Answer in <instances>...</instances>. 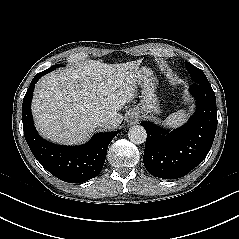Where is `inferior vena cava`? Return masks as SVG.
<instances>
[{
	"instance_id": "obj_1",
	"label": "inferior vena cava",
	"mask_w": 239,
	"mask_h": 239,
	"mask_svg": "<svg viewBox=\"0 0 239 239\" xmlns=\"http://www.w3.org/2000/svg\"><path fill=\"white\" fill-rule=\"evenodd\" d=\"M97 122H98V125H99V126H106V125L110 124L111 119H110V117H108V116H100V117L97 119Z\"/></svg>"
}]
</instances>
